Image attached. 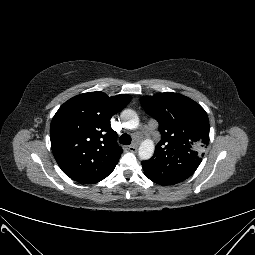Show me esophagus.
I'll return each instance as SVG.
<instances>
[{"mask_svg":"<svg viewBox=\"0 0 255 255\" xmlns=\"http://www.w3.org/2000/svg\"><path fill=\"white\" fill-rule=\"evenodd\" d=\"M137 148L138 146L136 144H133V145H130L127 147V149L130 151V152H136L137 151Z\"/></svg>","mask_w":255,"mask_h":255,"instance_id":"1","label":"esophagus"}]
</instances>
